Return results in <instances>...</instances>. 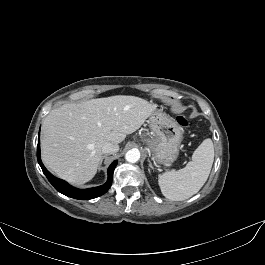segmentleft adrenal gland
Here are the masks:
<instances>
[{
	"instance_id": "left-adrenal-gland-1",
	"label": "left adrenal gland",
	"mask_w": 265,
	"mask_h": 265,
	"mask_svg": "<svg viewBox=\"0 0 265 265\" xmlns=\"http://www.w3.org/2000/svg\"><path fill=\"white\" fill-rule=\"evenodd\" d=\"M148 162H149V167L153 169V166H152L150 160H148Z\"/></svg>"
}]
</instances>
